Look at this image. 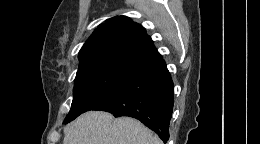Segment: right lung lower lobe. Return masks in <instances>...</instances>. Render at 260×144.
<instances>
[{"mask_svg":"<svg viewBox=\"0 0 260 144\" xmlns=\"http://www.w3.org/2000/svg\"><path fill=\"white\" fill-rule=\"evenodd\" d=\"M174 88L164 60L139 69L115 94L92 110L140 120L166 143L169 139Z\"/></svg>","mask_w":260,"mask_h":144,"instance_id":"right-lung-lower-lobe-1","label":"right lung lower lobe"}]
</instances>
